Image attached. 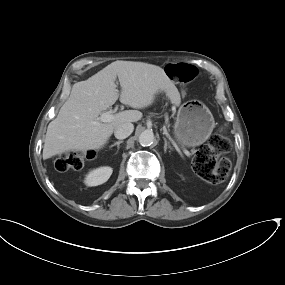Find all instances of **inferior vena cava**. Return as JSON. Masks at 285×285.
Listing matches in <instances>:
<instances>
[{
  "label": "inferior vena cava",
  "mask_w": 285,
  "mask_h": 285,
  "mask_svg": "<svg viewBox=\"0 0 285 285\" xmlns=\"http://www.w3.org/2000/svg\"><path fill=\"white\" fill-rule=\"evenodd\" d=\"M134 130V126L130 122L121 123L115 127L114 135L117 139L127 138Z\"/></svg>",
  "instance_id": "obj_1"
}]
</instances>
